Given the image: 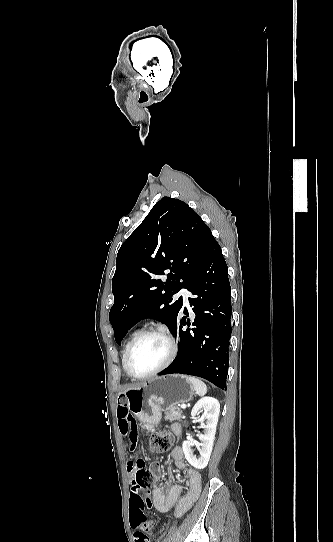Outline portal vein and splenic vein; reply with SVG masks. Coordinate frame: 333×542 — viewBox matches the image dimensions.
Masks as SVG:
<instances>
[{
	"label": "portal vein and splenic vein",
	"mask_w": 333,
	"mask_h": 542,
	"mask_svg": "<svg viewBox=\"0 0 333 542\" xmlns=\"http://www.w3.org/2000/svg\"><path fill=\"white\" fill-rule=\"evenodd\" d=\"M181 408H182V410H185V408H186L185 404H182Z\"/></svg>",
	"instance_id": "18ae733b"
}]
</instances>
